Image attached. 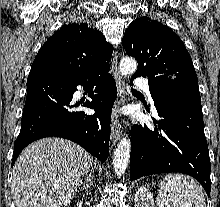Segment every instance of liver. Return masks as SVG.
<instances>
[{"label":"liver","mask_w":220,"mask_h":207,"mask_svg":"<svg viewBox=\"0 0 220 207\" xmlns=\"http://www.w3.org/2000/svg\"><path fill=\"white\" fill-rule=\"evenodd\" d=\"M93 159L79 145L61 138H44L27 146L13 168L16 207L67 206Z\"/></svg>","instance_id":"6515ba94"}]
</instances>
